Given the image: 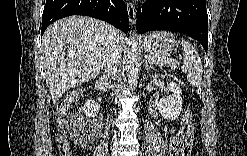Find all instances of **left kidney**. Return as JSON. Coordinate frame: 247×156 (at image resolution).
Here are the masks:
<instances>
[{"label":"left kidney","instance_id":"1","mask_svg":"<svg viewBox=\"0 0 247 156\" xmlns=\"http://www.w3.org/2000/svg\"><path fill=\"white\" fill-rule=\"evenodd\" d=\"M168 90L172 92L171 95L160 99L157 103L159 113L168 120H175L181 113L183 99L181 97L180 85L170 82L167 86Z\"/></svg>","mask_w":247,"mask_h":156}]
</instances>
